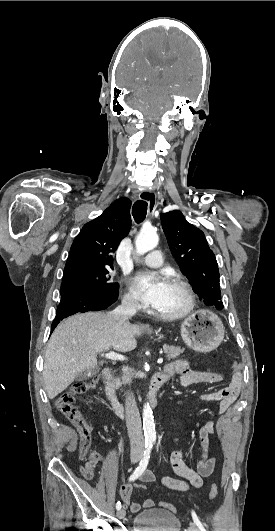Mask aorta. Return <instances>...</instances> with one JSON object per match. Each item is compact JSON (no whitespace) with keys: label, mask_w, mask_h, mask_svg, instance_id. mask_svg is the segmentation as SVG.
Wrapping results in <instances>:
<instances>
[{"label":"aorta","mask_w":275,"mask_h":531,"mask_svg":"<svg viewBox=\"0 0 275 531\" xmlns=\"http://www.w3.org/2000/svg\"><path fill=\"white\" fill-rule=\"evenodd\" d=\"M158 241V235L154 229H149V231L141 229L135 241L137 255H145L148 251H152L157 247ZM143 429L147 437H156L153 411L149 403H145L143 407Z\"/></svg>","instance_id":"762f6f07"}]
</instances>
